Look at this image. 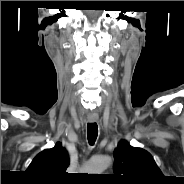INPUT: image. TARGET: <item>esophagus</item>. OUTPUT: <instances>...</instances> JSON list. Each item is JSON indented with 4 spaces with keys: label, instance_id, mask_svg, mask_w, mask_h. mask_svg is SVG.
Wrapping results in <instances>:
<instances>
[{
    "label": "esophagus",
    "instance_id": "1",
    "mask_svg": "<svg viewBox=\"0 0 184 184\" xmlns=\"http://www.w3.org/2000/svg\"><path fill=\"white\" fill-rule=\"evenodd\" d=\"M97 120H98V117H96V116H89V117H88V121L91 122V123H94V122H96Z\"/></svg>",
    "mask_w": 184,
    "mask_h": 184
}]
</instances>
